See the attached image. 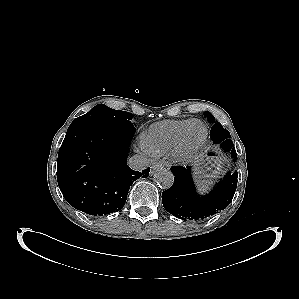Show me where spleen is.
I'll use <instances>...</instances> for the list:
<instances>
[{
  "mask_svg": "<svg viewBox=\"0 0 299 299\" xmlns=\"http://www.w3.org/2000/svg\"><path fill=\"white\" fill-rule=\"evenodd\" d=\"M212 182L210 181H204L202 184H201V188L199 189L200 191H206V189H208V185H210Z\"/></svg>",
  "mask_w": 299,
  "mask_h": 299,
  "instance_id": "1",
  "label": "spleen"
}]
</instances>
